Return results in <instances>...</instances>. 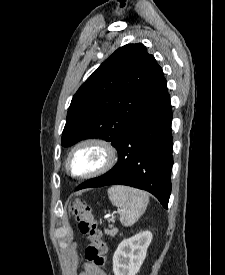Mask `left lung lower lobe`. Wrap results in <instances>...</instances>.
<instances>
[{
	"label": "left lung lower lobe",
	"mask_w": 225,
	"mask_h": 275,
	"mask_svg": "<svg viewBox=\"0 0 225 275\" xmlns=\"http://www.w3.org/2000/svg\"><path fill=\"white\" fill-rule=\"evenodd\" d=\"M172 109L167 85L141 111L116 148L117 164L76 190L121 184L152 193L164 208L171 193Z\"/></svg>",
	"instance_id": "0a47b994"
}]
</instances>
